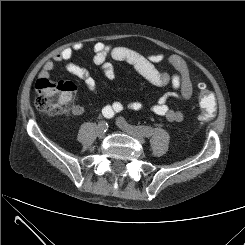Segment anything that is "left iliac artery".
Segmentation results:
<instances>
[{
  "label": "left iliac artery",
  "instance_id": "obj_1",
  "mask_svg": "<svg viewBox=\"0 0 245 245\" xmlns=\"http://www.w3.org/2000/svg\"><path fill=\"white\" fill-rule=\"evenodd\" d=\"M121 123L126 127H130L134 129L135 131L139 132L143 136L150 137L153 134V129L151 127L141 126V125L138 126L131 125L124 118H121Z\"/></svg>",
  "mask_w": 245,
  "mask_h": 245
}]
</instances>
